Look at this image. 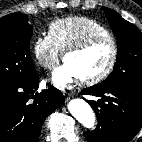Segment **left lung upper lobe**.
I'll use <instances>...</instances> for the list:
<instances>
[{
    "label": "left lung upper lobe",
    "mask_w": 142,
    "mask_h": 142,
    "mask_svg": "<svg viewBox=\"0 0 142 142\" xmlns=\"http://www.w3.org/2000/svg\"><path fill=\"white\" fill-rule=\"evenodd\" d=\"M118 40L117 62L113 72L100 86L111 84L142 85V33L116 11L102 8Z\"/></svg>",
    "instance_id": "obj_1"
}]
</instances>
